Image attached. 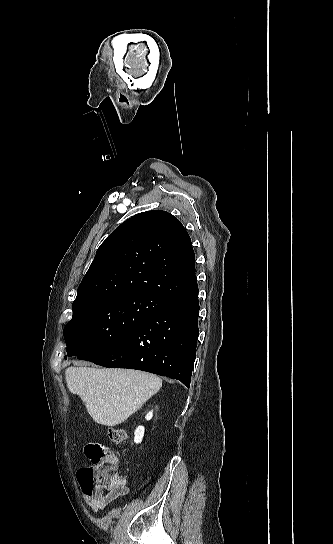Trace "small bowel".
Listing matches in <instances>:
<instances>
[{
	"instance_id": "1",
	"label": "small bowel",
	"mask_w": 333,
	"mask_h": 544,
	"mask_svg": "<svg viewBox=\"0 0 333 544\" xmlns=\"http://www.w3.org/2000/svg\"><path fill=\"white\" fill-rule=\"evenodd\" d=\"M129 492L126 478L122 477L120 483L108 490L97 489L93 492L83 490V498L87 505L97 514L104 510L107 504L114 499L125 496Z\"/></svg>"
}]
</instances>
